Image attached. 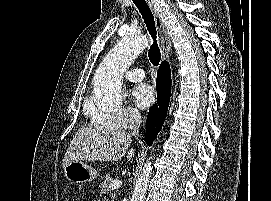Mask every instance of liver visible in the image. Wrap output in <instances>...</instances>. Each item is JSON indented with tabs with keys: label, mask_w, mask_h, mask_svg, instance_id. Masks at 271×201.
<instances>
[{
	"label": "liver",
	"mask_w": 271,
	"mask_h": 201,
	"mask_svg": "<svg viewBox=\"0 0 271 201\" xmlns=\"http://www.w3.org/2000/svg\"><path fill=\"white\" fill-rule=\"evenodd\" d=\"M131 135L121 130L85 127L79 129L63 159V168L74 161H118L130 147ZM130 149L127 159L134 157Z\"/></svg>",
	"instance_id": "6515ba94"
}]
</instances>
